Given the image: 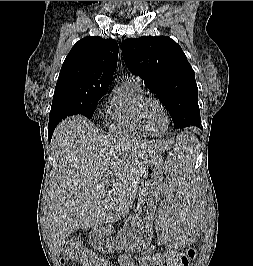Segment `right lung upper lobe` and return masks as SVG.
<instances>
[{
    "label": "right lung upper lobe",
    "instance_id": "right-lung-upper-lobe-1",
    "mask_svg": "<svg viewBox=\"0 0 253 266\" xmlns=\"http://www.w3.org/2000/svg\"><path fill=\"white\" fill-rule=\"evenodd\" d=\"M117 59L118 44L115 40L97 36L79 40L62 65L53 100L106 92Z\"/></svg>",
    "mask_w": 253,
    "mask_h": 266
}]
</instances>
